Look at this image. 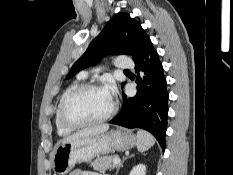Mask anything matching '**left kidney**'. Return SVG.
Here are the masks:
<instances>
[{
    "instance_id": "obj_1",
    "label": "left kidney",
    "mask_w": 233,
    "mask_h": 175,
    "mask_svg": "<svg viewBox=\"0 0 233 175\" xmlns=\"http://www.w3.org/2000/svg\"><path fill=\"white\" fill-rule=\"evenodd\" d=\"M129 175H146V166L138 164L131 170Z\"/></svg>"
}]
</instances>
